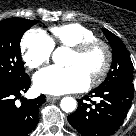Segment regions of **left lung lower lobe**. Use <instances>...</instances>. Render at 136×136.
Returning <instances> with one entry per match:
<instances>
[{
	"label": "left lung lower lobe",
	"instance_id": "0a47b994",
	"mask_svg": "<svg viewBox=\"0 0 136 136\" xmlns=\"http://www.w3.org/2000/svg\"><path fill=\"white\" fill-rule=\"evenodd\" d=\"M133 83H113L98 87L91 96L78 99L77 110L68 116L69 123L83 136H110L123 123L133 98ZM89 97H99V103ZM83 100L91 101L90 105Z\"/></svg>",
	"mask_w": 136,
	"mask_h": 136
}]
</instances>
